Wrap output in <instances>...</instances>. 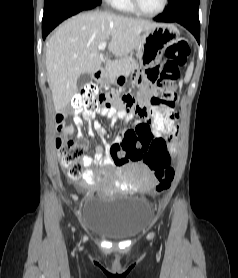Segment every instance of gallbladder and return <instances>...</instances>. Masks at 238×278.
Wrapping results in <instances>:
<instances>
[{"label": "gallbladder", "mask_w": 238, "mask_h": 278, "mask_svg": "<svg viewBox=\"0 0 238 278\" xmlns=\"http://www.w3.org/2000/svg\"><path fill=\"white\" fill-rule=\"evenodd\" d=\"M91 75L88 73H83L79 76L78 80H77V86L78 88L83 87L84 85H86L87 83H89L91 81Z\"/></svg>", "instance_id": "obj_1"}]
</instances>
